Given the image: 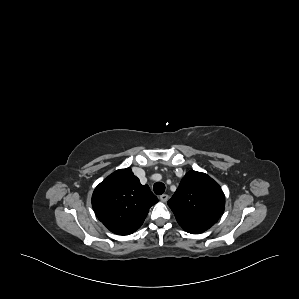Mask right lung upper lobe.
<instances>
[{
    "instance_id": "1",
    "label": "right lung upper lobe",
    "mask_w": 299,
    "mask_h": 299,
    "mask_svg": "<svg viewBox=\"0 0 299 299\" xmlns=\"http://www.w3.org/2000/svg\"><path fill=\"white\" fill-rule=\"evenodd\" d=\"M158 202L131 168L119 169L94 190L92 206L98 219L113 233L128 235L143 224L149 208Z\"/></svg>"
}]
</instances>
